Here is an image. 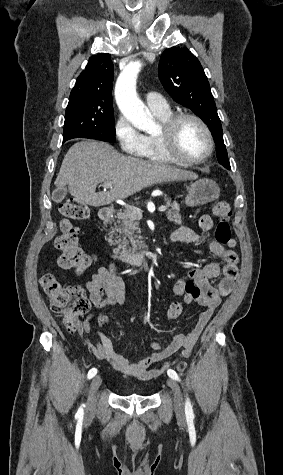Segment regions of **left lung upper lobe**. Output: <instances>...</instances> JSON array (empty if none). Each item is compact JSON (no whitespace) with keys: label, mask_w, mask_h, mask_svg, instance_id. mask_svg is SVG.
I'll return each instance as SVG.
<instances>
[{"label":"left lung upper lobe","mask_w":283,"mask_h":475,"mask_svg":"<svg viewBox=\"0 0 283 475\" xmlns=\"http://www.w3.org/2000/svg\"><path fill=\"white\" fill-rule=\"evenodd\" d=\"M158 69L160 81L171 97L199 116L212 135H222L214 98L199 60L187 48L172 47L163 52Z\"/></svg>","instance_id":"obj_1"}]
</instances>
